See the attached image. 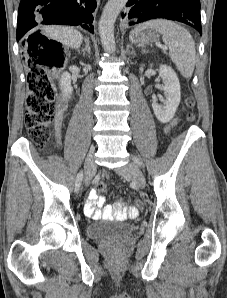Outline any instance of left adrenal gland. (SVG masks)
<instances>
[{
	"instance_id": "obj_1",
	"label": "left adrenal gland",
	"mask_w": 227,
	"mask_h": 298,
	"mask_svg": "<svg viewBox=\"0 0 227 298\" xmlns=\"http://www.w3.org/2000/svg\"><path fill=\"white\" fill-rule=\"evenodd\" d=\"M129 48H132V47L130 45H128V49ZM129 54H132L133 56H136V53H135L134 49H132V52H129Z\"/></svg>"
}]
</instances>
